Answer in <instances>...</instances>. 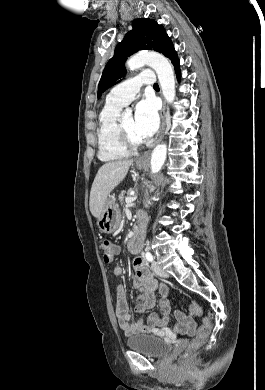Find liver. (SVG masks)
Returning a JSON list of instances; mask_svg holds the SVG:
<instances>
[{
  "mask_svg": "<svg viewBox=\"0 0 265 390\" xmlns=\"http://www.w3.org/2000/svg\"><path fill=\"white\" fill-rule=\"evenodd\" d=\"M133 160H118L102 165L93 181L90 192V211L98 218L112 190L126 177Z\"/></svg>",
  "mask_w": 265,
  "mask_h": 390,
  "instance_id": "6515ba94",
  "label": "liver"
}]
</instances>
